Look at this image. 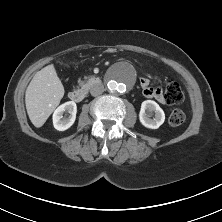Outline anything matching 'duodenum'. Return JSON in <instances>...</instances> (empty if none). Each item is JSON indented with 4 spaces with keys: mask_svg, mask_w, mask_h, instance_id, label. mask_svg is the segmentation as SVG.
Listing matches in <instances>:
<instances>
[{
    "mask_svg": "<svg viewBox=\"0 0 222 222\" xmlns=\"http://www.w3.org/2000/svg\"><path fill=\"white\" fill-rule=\"evenodd\" d=\"M99 84L100 79L98 77H94L85 86L71 90L68 95L69 99L73 102H81L87 96L89 88Z\"/></svg>",
    "mask_w": 222,
    "mask_h": 222,
    "instance_id": "1",
    "label": "duodenum"
}]
</instances>
